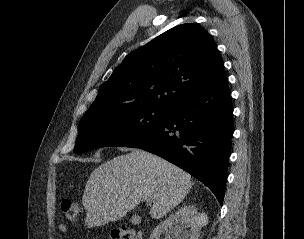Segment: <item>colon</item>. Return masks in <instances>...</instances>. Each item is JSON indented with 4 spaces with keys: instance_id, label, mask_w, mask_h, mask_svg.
Returning <instances> with one entry per match:
<instances>
[{
    "instance_id": "obj_1",
    "label": "colon",
    "mask_w": 304,
    "mask_h": 239,
    "mask_svg": "<svg viewBox=\"0 0 304 239\" xmlns=\"http://www.w3.org/2000/svg\"><path fill=\"white\" fill-rule=\"evenodd\" d=\"M62 212L70 223L77 222L82 216V206L80 203L70 199H64L61 202ZM110 239H143L142 234L127 226L114 228L110 232Z\"/></svg>"
}]
</instances>
